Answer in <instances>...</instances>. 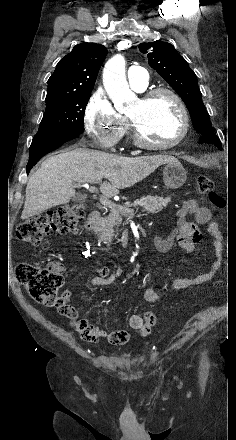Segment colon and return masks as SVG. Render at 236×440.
<instances>
[{
	"instance_id": "colon-1",
	"label": "colon",
	"mask_w": 236,
	"mask_h": 440,
	"mask_svg": "<svg viewBox=\"0 0 236 440\" xmlns=\"http://www.w3.org/2000/svg\"><path fill=\"white\" fill-rule=\"evenodd\" d=\"M197 188L199 193L208 195L216 208L225 207V199L214 190L213 183L208 177H198ZM84 215L83 204L60 206L21 222L16 229V236L23 243L35 247H46L50 236L75 232ZM16 277L36 302L55 307L59 312L64 313L67 303L58 293L63 284V277L58 268L54 265L42 267L33 263H19L16 267ZM144 324H150L151 328L155 326V315L151 312L147 313Z\"/></svg>"
}]
</instances>
